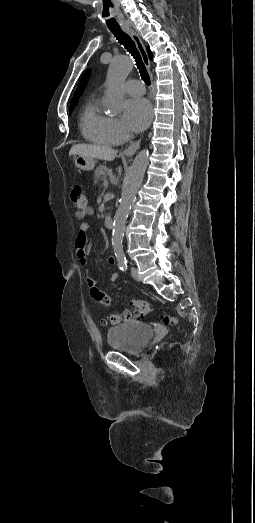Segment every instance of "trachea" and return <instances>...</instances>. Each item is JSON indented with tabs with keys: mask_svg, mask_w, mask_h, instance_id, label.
<instances>
[{
	"mask_svg": "<svg viewBox=\"0 0 255 523\" xmlns=\"http://www.w3.org/2000/svg\"><path fill=\"white\" fill-rule=\"evenodd\" d=\"M109 30L113 33L114 37L118 40V42L121 45H123L129 53H131V55L135 59L142 80L144 81V83H146V85H150V77L134 41L127 33H125V31L123 32V30L120 27L109 28Z\"/></svg>",
	"mask_w": 255,
	"mask_h": 523,
	"instance_id": "obj_1",
	"label": "trachea"
}]
</instances>
